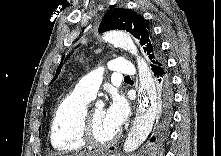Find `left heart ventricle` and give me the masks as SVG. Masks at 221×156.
I'll return each instance as SVG.
<instances>
[{"label":"left heart ventricle","mask_w":221,"mask_h":156,"mask_svg":"<svg viewBox=\"0 0 221 156\" xmlns=\"http://www.w3.org/2000/svg\"><path fill=\"white\" fill-rule=\"evenodd\" d=\"M91 116L93 121L94 134L98 140L107 141L117 133V131L108 124L104 108H93L91 110Z\"/></svg>","instance_id":"obj_1"}]
</instances>
